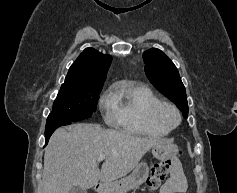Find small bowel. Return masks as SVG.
<instances>
[{"mask_svg":"<svg viewBox=\"0 0 237 193\" xmlns=\"http://www.w3.org/2000/svg\"><path fill=\"white\" fill-rule=\"evenodd\" d=\"M170 162L171 177L162 185L159 193H185L188 185L183 170L176 159Z\"/></svg>","mask_w":237,"mask_h":193,"instance_id":"c3829d8e","label":"small bowel"}]
</instances>
